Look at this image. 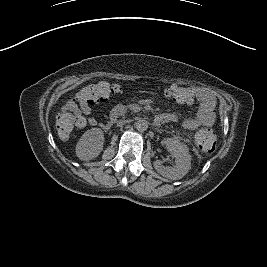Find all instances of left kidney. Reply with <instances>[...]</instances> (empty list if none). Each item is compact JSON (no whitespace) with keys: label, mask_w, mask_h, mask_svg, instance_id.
I'll return each mask as SVG.
<instances>
[{"label":"left kidney","mask_w":267,"mask_h":267,"mask_svg":"<svg viewBox=\"0 0 267 267\" xmlns=\"http://www.w3.org/2000/svg\"><path fill=\"white\" fill-rule=\"evenodd\" d=\"M162 143L167 146L168 152L175 159V165L164 166L161 160H155L153 163L155 170L168 179H181L191 168V155L188 149L179 140L173 138H165Z\"/></svg>","instance_id":"1"}]
</instances>
